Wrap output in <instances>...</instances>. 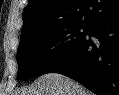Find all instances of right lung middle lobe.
Segmentation results:
<instances>
[{"label":"right lung middle lobe","mask_w":119,"mask_h":95,"mask_svg":"<svg viewBox=\"0 0 119 95\" xmlns=\"http://www.w3.org/2000/svg\"><path fill=\"white\" fill-rule=\"evenodd\" d=\"M89 28L73 23L50 24L22 36L17 51L18 79L45 74L85 38Z\"/></svg>","instance_id":"obj_1"}]
</instances>
